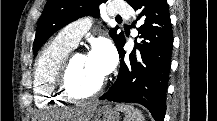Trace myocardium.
<instances>
[{
  "instance_id": "1",
  "label": "myocardium",
  "mask_w": 217,
  "mask_h": 121,
  "mask_svg": "<svg viewBox=\"0 0 217 121\" xmlns=\"http://www.w3.org/2000/svg\"><path fill=\"white\" fill-rule=\"evenodd\" d=\"M77 55L85 56L81 53H70L62 65L60 66L58 73L56 75L54 85L56 88V93L65 100L73 102H86L90 101L97 96H99L105 89L106 79L103 78L100 84L95 90L87 94H77L74 93L69 84V74L73 66V62Z\"/></svg>"
}]
</instances>
